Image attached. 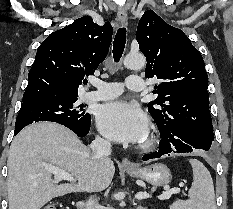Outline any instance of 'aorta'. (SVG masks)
Wrapping results in <instances>:
<instances>
[{
    "instance_id": "aorta-1",
    "label": "aorta",
    "mask_w": 233,
    "mask_h": 209,
    "mask_svg": "<svg viewBox=\"0 0 233 209\" xmlns=\"http://www.w3.org/2000/svg\"><path fill=\"white\" fill-rule=\"evenodd\" d=\"M123 62L129 69H141L145 66L146 59L142 54H128Z\"/></svg>"
}]
</instances>
